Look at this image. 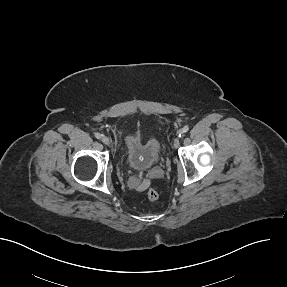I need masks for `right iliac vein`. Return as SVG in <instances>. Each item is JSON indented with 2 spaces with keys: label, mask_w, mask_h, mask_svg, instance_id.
<instances>
[{
  "label": "right iliac vein",
  "mask_w": 287,
  "mask_h": 287,
  "mask_svg": "<svg viewBox=\"0 0 287 287\" xmlns=\"http://www.w3.org/2000/svg\"><path fill=\"white\" fill-rule=\"evenodd\" d=\"M101 141H102L105 145L110 144V139H109L107 136H102Z\"/></svg>",
  "instance_id": "right-iliac-vein-1"
}]
</instances>
